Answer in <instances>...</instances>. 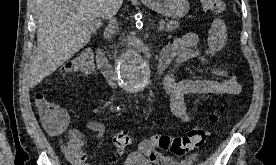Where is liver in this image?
<instances>
[{"label":"liver","instance_id":"1","mask_svg":"<svg viewBox=\"0 0 276 165\" xmlns=\"http://www.w3.org/2000/svg\"><path fill=\"white\" fill-rule=\"evenodd\" d=\"M123 0H36L37 49L28 84L35 87L91 39L90 22L108 19Z\"/></svg>","mask_w":276,"mask_h":165}]
</instances>
